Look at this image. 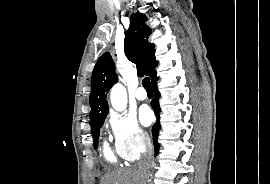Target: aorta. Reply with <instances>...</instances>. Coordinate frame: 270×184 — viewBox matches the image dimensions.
Masks as SVG:
<instances>
[{"label": "aorta", "mask_w": 270, "mask_h": 184, "mask_svg": "<svg viewBox=\"0 0 270 184\" xmlns=\"http://www.w3.org/2000/svg\"><path fill=\"white\" fill-rule=\"evenodd\" d=\"M110 100L112 107L116 111H123L127 106V93L125 87L119 83L114 85L110 92Z\"/></svg>", "instance_id": "obj_1"}]
</instances>
